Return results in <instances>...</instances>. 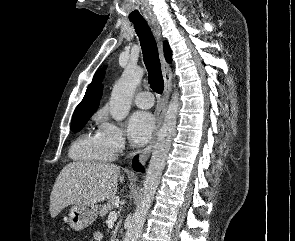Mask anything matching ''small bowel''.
Instances as JSON below:
<instances>
[{
    "instance_id": "small-bowel-1",
    "label": "small bowel",
    "mask_w": 295,
    "mask_h": 241,
    "mask_svg": "<svg viewBox=\"0 0 295 241\" xmlns=\"http://www.w3.org/2000/svg\"><path fill=\"white\" fill-rule=\"evenodd\" d=\"M102 237H103V235L99 231L93 232V234H92L93 241H101Z\"/></svg>"
}]
</instances>
